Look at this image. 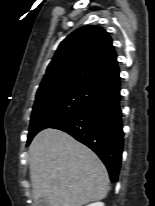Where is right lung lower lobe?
<instances>
[{"mask_svg": "<svg viewBox=\"0 0 155 206\" xmlns=\"http://www.w3.org/2000/svg\"><path fill=\"white\" fill-rule=\"evenodd\" d=\"M120 85L91 105L51 128L67 132L91 148L106 165L110 179L118 180L123 152Z\"/></svg>", "mask_w": 155, "mask_h": 206, "instance_id": "1", "label": "right lung lower lobe"}]
</instances>
